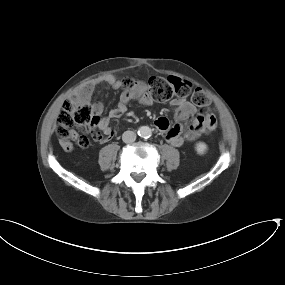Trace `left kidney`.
<instances>
[{
    "instance_id": "left-kidney-1",
    "label": "left kidney",
    "mask_w": 285,
    "mask_h": 285,
    "mask_svg": "<svg viewBox=\"0 0 285 285\" xmlns=\"http://www.w3.org/2000/svg\"><path fill=\"white\" fill-rule=\"evenodd\" d=\"M195 149L198 154H204L207 151L208 147L204 142H198L195 146Z\"/></svg>"
}]
</instances>
